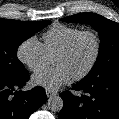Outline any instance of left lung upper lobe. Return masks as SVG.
<instances>
[{
  "label": "left lung upper lobe",
  "instance_id": "obj_1",
  "mask_svg": "<svg viewBox=\"0 0 119 119\" xmlns=\"http://www.w3.org/2000/svg\"><path fill=\"white\" fill-rule=\"evenodd\" d=\"M61 21L86 23L98 31L101 41L98 58L84 81L119 77V24L94 13H80Z\"/></svg>",
  "mask_w": 119,
  "mask_h": 119
}]
</instances>
